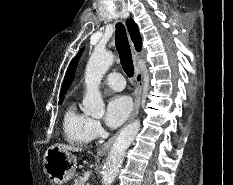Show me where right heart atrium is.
<instances>
[{
	"label": "right heart atrium",
	"instance_id": "right-heart-atrium-1",
	"mask_svg": "<svg viewBox=\"0 0 233 185\" xmlns=\"http://www.w3.org/2000/svg\"><path fill=\"white\" fill-rule=\"evenodd\" d=\"M88 133H89L91 140L101 137L104 133V129L100 121L96 119H90L89 126H88Z\"/></svg>",
	"mask_w": 233,
	"mask_h": 185
}]
</instances>
